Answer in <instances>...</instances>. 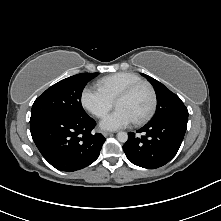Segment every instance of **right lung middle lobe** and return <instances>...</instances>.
Segmentation results:
<instances>
[{
    "mask_svg": "<svg viewBox=\"0 0 221 221\" xmlns=\"http://www.w3.org/2000/svg\"><path fill=\"white\" fill-rule=\"evenodd\" d=\"M99 73H81L63 79L49 87L34 102L31 118L46 115L84 116L81 95L85 85Z\"/></svg>",
    "mask_w": 221,
    "mask_h": 221,
    "instance_id": "dd1d6c3e",
    "label": "right lung middle lobe"
}]
</instances>
